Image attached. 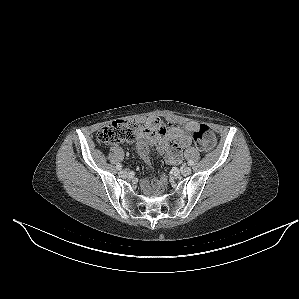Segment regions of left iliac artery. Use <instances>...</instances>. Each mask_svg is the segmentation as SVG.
<instances>
[{"mask_svg": "<svg viewBox=\"0 0 299 299\" xmlns=\"http://www.w3.org/2000/svg\"><path fill=\"white\" fill-rule=\"evenodd\" d=\"M188 165L193 166V165H194V162H193L192 160H189V161H188Z\"/></svg>", "mask_w": 299, "mask_h": 299, "instance_id": "44dca946", "label": "left iliac artery"}]
</instances>
